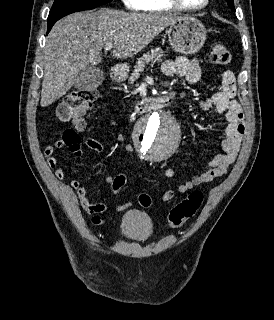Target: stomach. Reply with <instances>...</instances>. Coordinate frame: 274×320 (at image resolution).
Wrapping results in <instances>:
<instances>
[{"label": "stomach", "instance_id": "stomach-1", "mask_svg": "<svg viewBox=\"0 0 274 320\" xmlns=\"http://www.w3.org/2000/svg\"><path fill=\"white\" fill-rule=\"evenodd\" d=\"M168 40L174 52L178 54H196L203 48L207 36V30L200 20L192 18V16H183L176 20L174 24L168 26ZM118 76H123L122 66H118Z\"/></svg>", "mask_w": 274, "mask_h": 320}]
</instances>
